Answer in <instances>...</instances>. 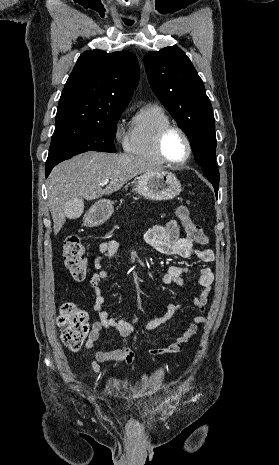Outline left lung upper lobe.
Instances as JSON below:
<instances>
[{
	"mask_svg": "<svg viewBox=\"0 0 279 465\" xmlns=\"http://www.w3.org/2000/svg\"><path fill=\"white\" fill-rule=\"evenodd\" d=\"M144 64L154 94L188 136L197 163L218 194L215 122L202 79L177 46L147 53Z\"/></svg>",
	"mask_w": 279,
	"mask_h": 465,
	"instance_id": "5c2ea615",
	"label": "left lung upper lobe"
}]
</instances>
